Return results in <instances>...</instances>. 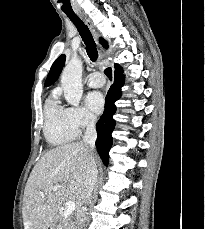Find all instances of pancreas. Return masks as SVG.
Here are the masks:
<instances>
[{"mask_svg": "<svg viewBox=\"0 0 205 229\" xmlns=\"http://www.w3.org/2000/svg\"><path fill=\"white\" fill-rule=\"evenodd\" d=\"M50 229H72V223L68 218L64 219L63 214H58Z\"/></svg>", "mask_w": 205, "mask_h": 229, "instance_id": "obj_1", "label": "pancreas"}]
</instances>
